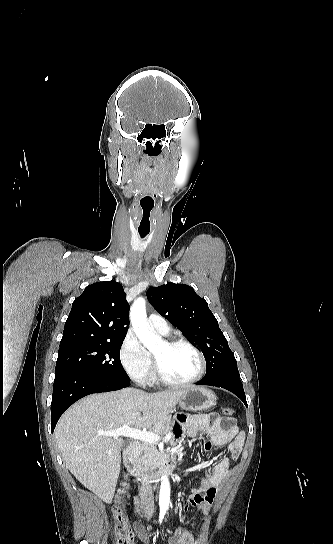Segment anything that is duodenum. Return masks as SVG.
Listing matches in <instances>:
<instances>
[{"instance_id": "1", "label": "duodenum", "mask_w": 333, "mask_h": 544, "mask_svg": "<svg viewBox=\"0 0 333 544\" xmlns=\"http://www.w3.org/2000/svg\"><path fill=\"white\" fill-rule=\"evenodd\" d=\"M139 444H130L124 452L125 466L129 473L138 481L150 482L156 478L171 473L176 467V461L173 456L165 457L158 465L154 467H146L142 465L138 458Z\"/></svg>"}]
</instances>
